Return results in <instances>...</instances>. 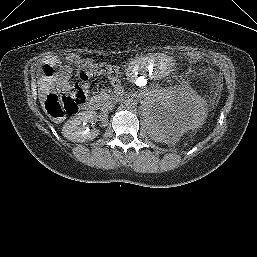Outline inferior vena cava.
Here are the masks:
<instances>
[{
	"mask_svg": "<svg viewBox=\"0 0 257 257\" xmlns=\"http://www.w3.org/2000/svg\"><path fill=\"white\" fill-rule=\"evenodd\" d=\"M115 102H113V101H107L104 105H103V107H102V111L103 112H108V111H110V110H112L114 107H115Z\"/></svg>",
	"mask_w": 257,
	"mask_h": 257,
	"instance_id": "1",
	"label": "inferior vena cava"
}]
</instances>
